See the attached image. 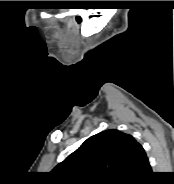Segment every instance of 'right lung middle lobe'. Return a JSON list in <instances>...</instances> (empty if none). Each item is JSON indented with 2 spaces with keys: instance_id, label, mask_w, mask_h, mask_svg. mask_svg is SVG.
I'll use <instances>...</instances> for the list:
<instances>
[{
  "instance_id": "dd1d6c3e",
  "label": "right lung middle lobe",
  "mask_w": 174,
  "mask_h": 184,
  "mask_svg": "<svg viewBox=\"0 0 174 184\" xmlns=\"http://www.w3.org/2000/svg\"><path fill=\"white\" fill-rule=\"evenodd\" d=\"M122 182L116 183V184H121Z\"/></svg>"
}]
</instances>
